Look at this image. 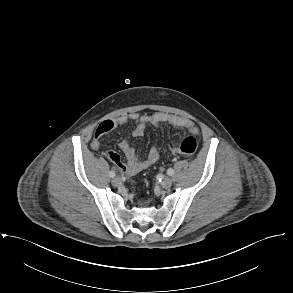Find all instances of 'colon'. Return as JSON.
<instances>
[{"label":"colon","mask_w":293,"mask_h":293,"mask_svg":"<svg viewBox=\"0 0 293 293\" xmlns=\"http://www.w3.org/2000/svg\"><path fill=\"white\" fill-rule=\"evenodd\" d=\"M169 148L173 153L191 156L198 148V139L195 136H186L182 139H173L169 143Z\"/></svg>","instance_id":"obj_1"}]
</instances>
